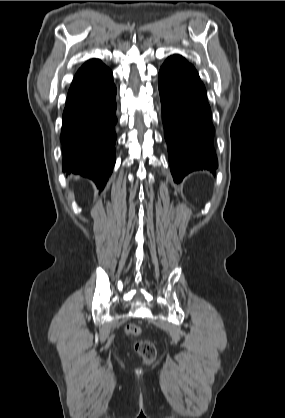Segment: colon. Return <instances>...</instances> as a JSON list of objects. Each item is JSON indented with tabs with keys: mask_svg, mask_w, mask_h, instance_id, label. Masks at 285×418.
<instances>
[{
	"mask_svg": "<svg viewBox=\"0 0 285 418\" xmlns=\"http://www.w3.org/2000/svg\"><path fill=\"white\" fill-rule=\"evenodd\" d=\"M125 333L129 337H137L141 334V329L136 325H129L126 327ZM132 343L144 364H150L155 360L157 354L156 347L151 341L140 339L133 340Z\"/></svg>",
	"mask_w": 285,
	"mask_h": 418,
	"instance_id": "obj_1",
	"label": "colon"
}]
</instances>
